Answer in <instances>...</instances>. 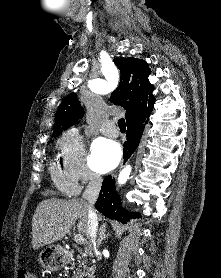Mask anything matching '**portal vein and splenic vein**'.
<instances>
[{
    "label": "portal vein and splenic vein",
    "mask_w": 221,
    "mask_h": 278,
    "mask_svg": "<svg viewBox=\"0 0 221 278\" xmlns=\"http://www.w3.org/2000/svg\"><path fill=\"white\" fill-rule=\"evenodd\" d=\"M75 242L84 245L86 243V239L83 237V235L77 234L75 236Z\"/></svg>",
    "instance_id": "portal-vein-and-splenic-vein-1"
}]
</instances>
